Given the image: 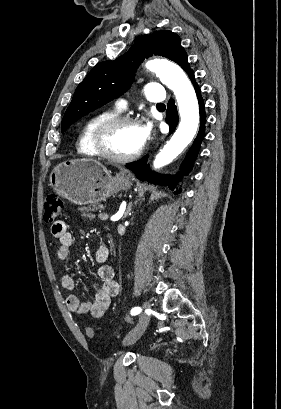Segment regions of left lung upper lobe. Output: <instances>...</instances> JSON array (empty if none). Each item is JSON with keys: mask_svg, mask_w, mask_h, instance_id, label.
Listing matches in <instances>:
<instances>
[{"mask_svg": "<svg viewBox=\"0 0 281 409\" xmlns=\"http://www.w3.org/2000/svg\"><path fill=\"white\" fill-rule=\"evenodd\" d=\"M161 55L192 71L180 38L171 31H157L138 40L127 53L113 61L97 64L78 85L67 108L61 131L89 112L122 95L134 81V72L145 59Z\"/></svg>", "mask_w": 281, "mask_h": 409, "instance_id": "5c2ea615", "label": "left lung upper lobe"}]
</instances>
